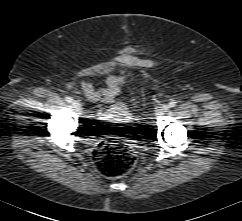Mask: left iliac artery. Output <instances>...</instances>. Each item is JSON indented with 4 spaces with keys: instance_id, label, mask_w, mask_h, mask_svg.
Masks as SVG:
<instances>
[{
    "instance_id": "1",
    "label": "left iliac artery",
    "mask_w": 242,
    "mask_h": 221,
    "mask_svg": "<svg viewBox=\"0 0 242 221\" xmlns=\"http://www.w3.org/2000/svg\"><path fill=\"white\" fill-rule=\"evenodd\" d=\"M175 105H176V101L172 100V101L169 102L168 106L171 108V107H174Z\"/></svg>"
}]
</instances>
